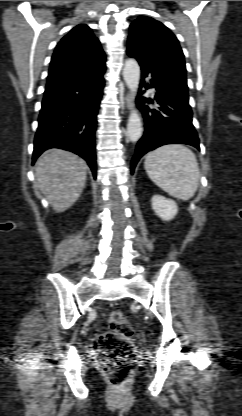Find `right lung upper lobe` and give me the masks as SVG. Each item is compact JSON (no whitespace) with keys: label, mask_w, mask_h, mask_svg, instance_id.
Masks as SVG:
<instances>
[{"label":"right lung upper lobe","mask_w":242,"mask_h":416,"mask_svg":"<svg viewBox=\"0 0 242 416\" xmlns=\"http://www.w3.org/2000/svg\"><path fill=\"white\" fill-rule=\"evenodd\" d=\"M105 71V54L86 25L73 28L58 43L52 56L46 88L76 82Z\"/></svg>","instance_id":"obj_1"}]
</instances>
